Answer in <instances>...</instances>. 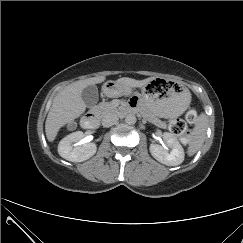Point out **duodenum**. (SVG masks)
<instances>
[{"instance_id":"1","label":"duodenum","mask_w":243,"mask_h":243,"mask_svg":"<svg viewBox=\"0 0 243 243\" xmlns=\"http://www.w3.org/2000/svg\"><path fill=\"white\" fill-rule=\"evenodd\" d=\"M127 113H129L128 108H124L119 111L120 116H124ZM81 124L86 129H95L98 126L97 116L93 112H88L82 118Z\"/></svg>"}]
</instances>
